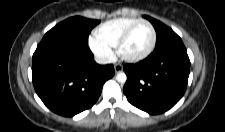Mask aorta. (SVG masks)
<instances>
[{"mask_svg":"<svg viewBox=\"0 0 225 132\" xmlns=\"http://www.w3.org/2000/svg\"><path fill=\"white\" fill-rule=\"evenodd\" d=\"M116 80L119 82V83H125L126 80H127V76L124 72H119L117 75H116Z\"/></svg>","mask_w":225,"mask_h":132,"instance_id":"obj_1","label":"aorta"}]
</instances>
